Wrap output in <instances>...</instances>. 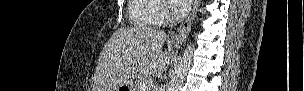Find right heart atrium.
<instances>
[{"label":"right heart atrium","instance_id":"obj_1","mask_svg":"<svg viewBox=\"0 0 304 91\" xmlns=\"http://www.w3.org/2000/svg\"><path fill=\"white\" fill-rule=\"evenodd\" d=\"M166 15H167V14H166V11H165V10H161L160 13H159V16H158L157 21H158V22L163 21L164 18L166 17Z\"/></svg>","mask_w":304,"mask_h":91}]
</instances>
